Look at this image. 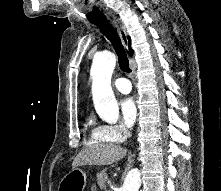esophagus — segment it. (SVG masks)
Instances as JSON below:
<instances>
[{
    "label": "esophagus",
    "instance_id": "esophagus-1",
    "mask_svg": "<svg viewBox=\"0 0 221 191\" xmlns=\"http://www.w3.org/2000/svg\"><path fill=\"white\" fill-rule=\"evenodd\" d=\"M108 20L112 23L114 27H116L124 46L128 48L127 34L120 20L114 15H109Z\"/></svg>",
    "mask_w": 221,
    "mask_h": 191
}]
</instances>
